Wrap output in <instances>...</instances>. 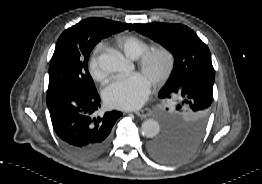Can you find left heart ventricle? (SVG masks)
<instances>
[{
	"instance_id": "left-heart-ventricle-1",
	"label": "left heart ventricle",
	"mask_w": 262,
	"mask_h": 184,
	"mask_svg": "<svg viewBox=\"0 0 262 184\" xmlns=\"http://www.w3.org/2000/svg\"><path fill=\"white\" fill-rule=\"evenodd\" d=\"M165 65V60L163 57H158L153 65L151 66L150 70L147 72H144L143 74L148 77L149 80H151L153 74L157 73L160 71Z\"/></svg>"
}]
</instances>
